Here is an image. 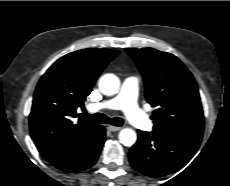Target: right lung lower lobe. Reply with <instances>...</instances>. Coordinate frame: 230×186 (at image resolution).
I'll return each mask as SVG.
<instances>
[{"instance_id":"obj_1","label":"right lung lower lobe","mask_w":230,"mask_h":186,"mask_svg":"<svg viewBox=\"0 0 230 186\" xmlns=\"http://www.w3.org/2000/svg\"><path fill=\"white\" fill-rule=\"evenodd\" d=\"M105 141V128L97 126L67 157L53 165L64 172H77L90 168L97 161Z\"/></svg>"}]
</instances>
